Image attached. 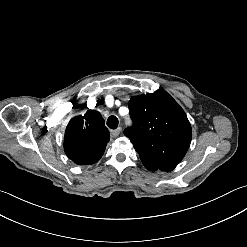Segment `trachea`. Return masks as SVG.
<instances>
[{"instance_id":"obj_1","label":"trachea","mask_w":247,"mask_h":247,"mask_svg":"<svg viewBox=\"0 0 247 247\" xmlns=\"http://www.w3.org/2000/svg\"><path fill=\"white\" fill-rule=\"evenodd\" d=\"M118 119L115 116H110L107 120V125L111 129H116L118 127Z\"/></svg>"}]
</instances>
